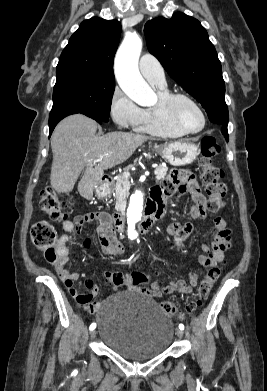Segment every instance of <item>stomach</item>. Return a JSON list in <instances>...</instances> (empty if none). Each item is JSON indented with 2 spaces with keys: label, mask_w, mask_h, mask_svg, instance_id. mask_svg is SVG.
<instances>
[{
  "label": "stomach",
  "mask_w": 267,
  "mask_h": 391,
  "mask_svg": "<svg viewBox=\"0 0 267 391\" xmlns=\"http://www.w3.org/2000/svg\"><path fill=\"white\" fill-rule=\"evenodd\" d=\"M154 149L173 166L189 165L199 154V148L195 143L184 140L167 145L155 146ZM111 191L112 189L108 184H100L95 188V196L104 198L108 196Z\"/></svg>",
  "instance_id": "stomach-1"
}]
</instances>
